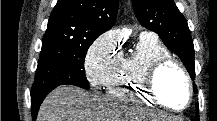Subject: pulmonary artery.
<instances>
[{
    "label": "pulmonary artery",
    "instance_id": "1",
    "mask_svg": "<svg viewBox=\"0 0 217 121\" xmlns=\"http://www.w3.org/2000/svg\"><path fill=\"white\" fill-rule=\"evenodd\" d=\"M140 36H141V37H154L153 34L148 33V32H142Z\"/></svg>",
    "mask_w": 217,
    "mask_h": 121
}]
</instances>
